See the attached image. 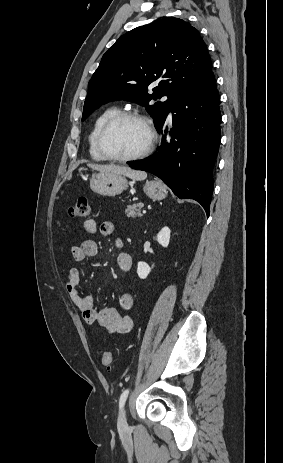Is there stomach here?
<instances>
[{"instance_id":"1","label":"stomach","mask_w":283,"mask_h":463,"mask_svg":"<svg viewBox=\"0 0 283 463\" xmlns=\"http://www.w3.org/2000/svg\"><path fill=\"white\" fill-rule=\"evenodd\" d=\"M130 182L125 176L111 173H97L90 179V188L104 196H116L127 189ZM143 190L153 200L164 199L167 195L166 187L159 180L146 181Z\"/></svg>"}]
</instances>
